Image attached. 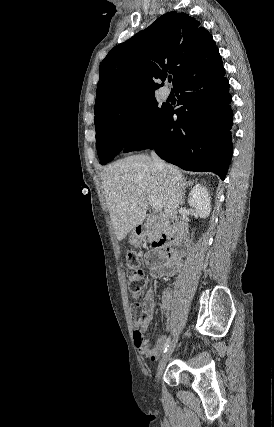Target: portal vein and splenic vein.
Returning <instances> with one entry per match:
<instances>
[{
    "label": "portal vein and splenic vein",
    "mask_w": 274,
    "mask_h": 427,
    "mask_svg": "<svg viewBox=\"0 0 274 427\" xmlns=\"http://www.w3.org/2000/svg\"><path fill=\"white\" fill-rule=\"evenodd\" d=\"M149 204H151L152 208H154V210H162L163 208V204H162V200H154V198H147Z\"/></svg>",
    "instance_id": "obj_1"
}]
</instances>
